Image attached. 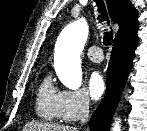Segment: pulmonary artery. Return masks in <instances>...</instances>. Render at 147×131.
<instances>
[{"instance_id":"1","label":"pulmonary artery","mask_w":147,"mask_h":131,"mask_svg":"<svg viewBox=\"0 0 147 131\" xmlns=\"http://www.w3.org/2000/svg\"><path fill=\"white\" fill-rule=\"evenodd\" d=\"M87 56L93 62H101L103 60L102 49L98 46H92L88 49Z\"/></svg>"}]
</instances>
